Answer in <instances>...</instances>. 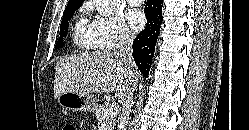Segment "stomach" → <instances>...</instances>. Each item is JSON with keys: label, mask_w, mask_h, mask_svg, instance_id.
I'll return each instance as SVG.
<instances>
[{"label": "stomach", "mask_w": 249, "mask_h": 130, "mask_svg": "<svg viewBox=\"0 0 249 130\" xmlns=\"http://www.w3.org/2000/svg\"><path fill=\"white\" fill-rule=\"evenodd\" d=\"M57 99L65 110L93 112L97 107V100L92 94L66 92L60 94Z\"/></svg>", "instance_id": "0dacf381"}]
</instances>
